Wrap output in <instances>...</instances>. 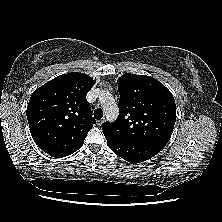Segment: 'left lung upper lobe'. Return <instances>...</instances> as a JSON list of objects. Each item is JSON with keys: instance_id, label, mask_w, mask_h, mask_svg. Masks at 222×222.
Returning a JSON list of instances; mask_svg holds the SVG:
<instances>
[{"instance_id": "5c2ea615", "label": "left lung upper lobe", "mask_w": 222, "mask_h": 222, "mask_svg": "<svg viewBox=\"0 0 222 222\" xmlns=\"http://www.w3.org/2000/svg\"><path fill=\"white\" fill-rule=\"evenodd\" d=\"M119 116L105 122L103 133L127 142H148L165 146L176 121L172 93L158 80L126 73L118 81Z\"/></svg>"}]
</instances>
